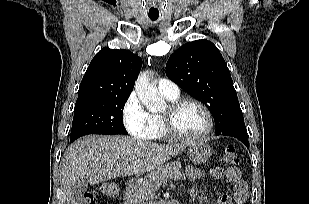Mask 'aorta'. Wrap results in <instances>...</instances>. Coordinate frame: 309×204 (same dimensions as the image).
<instances>
[{
  "label": "aorta",
  "instance_id": "762f6f07",
  "mask_svg": "<svg viewBox=\"0 0 309 204\" xmlns=\"http://www.w3.org/2000/svg\"><path fill=\"white\" fill-rule=\"evenodd\" d=\"M135 91L141 103L151 112L165 108L164 100L159 96L157 87L150 83L149 72H141L135 82Z\"/></svg>",
  "mask_w": 309,
  "mask_h": 204
}]
</instances>
